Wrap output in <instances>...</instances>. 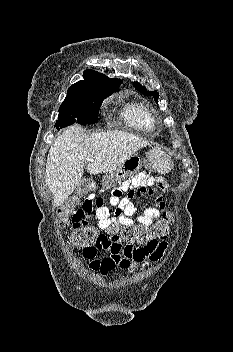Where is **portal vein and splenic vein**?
I'll list each match as a JSON object with an SVG mask.
<instances>
[{"instance_id":"18ae733b","label":"portal vein and splenic vein","mask_w":233,"mask_h":352,"mask_svg":"<svg viewBox=\"0 0 233 352\" xmlns=\"http://www.w3.org/2000/svg\"><path fill=\"white\" fill-rule=\"evenodd\" d=\"M85 161H91V159H90L89 157H87V158L85 159Z\"/></svg>"}]
</instances>
